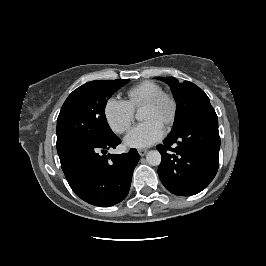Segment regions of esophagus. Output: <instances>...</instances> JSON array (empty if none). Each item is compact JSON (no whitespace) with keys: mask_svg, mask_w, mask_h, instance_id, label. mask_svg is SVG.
<instances>
[{"mask_svg":"<svg viewBox=\"0 0 266 266\" xmlns=\"http://www.w3.org/2000/svg\"><path fill=\"white\" fill-rule=\"evenodd\" d=\"M148 152L147 149H138V153L140 156H144Z\"/></svg>","mask_w":266,"mask_h":266,"instance_id":"esophagus-1","label":"esophagus"}]
</instances>
